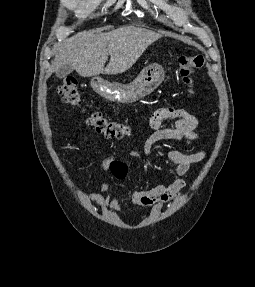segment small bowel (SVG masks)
I'll use <instances>...</instances> for the list:
<instances>
[{"mask_svg":"<svg viewBox=\"0 0 255 287\" xmlns=\"http://www.w3.org/2000/svg\"><path fill=\"white\" fill-rule=\"evenodd\" d=\"M168 119L175 120L173 127H164L163 122ZM150 127L153 133L148 137L144 145V154L149 156L154 145L164 140L187 139L195 141L199 139L197 133L198 120L185 109L163 107L157 109L150 118ZM207 150L203 149L195 153L186 154L178 150H168L166 156L175 165L176 179L168 185H157L150 189L135 191L131 195L133 203L150 207L152 214L159 213L163 205L175 200L181 190L186 186V176L190 167L205 159ZM131 157H137L136 152H130ZM104 171L110 172L116 179L124 180L128 174L127 165L115 157L108 158L102 165ZM102 193H87L86 198L100 210H112L120 212L121 207L116 196L111 195L108 185L101 183Z\"/></svg>","mask_w":255,"mask_h":287,"instance_id":"obj_1","label":"small bowel"}]
</instances>
